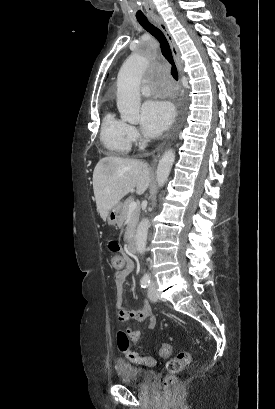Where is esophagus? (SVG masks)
<instances>
[{
  "mask_svg": "<svg viewBox=\"0 0 275 409\" xmlns=\"http://www.w3.org/2000/svg\"><path fill=\"white\" fill-rule=\"evenodd\" d=\"M151 22H153L165 35V37L167 38V41L169 42V45L171 47V52L173 54V57L177 63V68H178V72H179V76H182V61H181V56H180V52L179 49L175 43L174 38L172 37L171 33L169 32L166 23L162 20L161 17H154L150 19ZM163 146V145H162ZM160 146V147H162ZM159 156V153L157 154V156L154 157L153 162L157 161V158Z\"/></svg>",
  "mask_w": 275,
  "mask_h": 409,
  "instance_id": "1",
  "label": "esophagus"
}]
</instances>
